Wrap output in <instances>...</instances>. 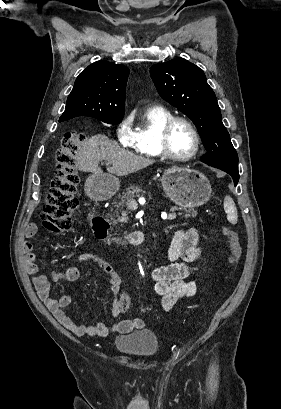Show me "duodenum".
<instances>
[{"mask_svg":"<svg viewBox=\"0 0 281 409\" xmlns=\"http://www.w3.org/2000/svg\"><path fill=\"white\" fill-rule=\"evenodd\" d=\"M91 226L94 235L99 239L109 238V227L104 216L97 215L92 218ZM125 239L132 245H140L143 243V235L139 232H131L125 235Z\"/></svg>","mask_w":281,"mask_h":409,"instance_id":"1","label":"duodenum"}]
</instances>
